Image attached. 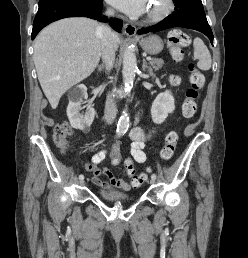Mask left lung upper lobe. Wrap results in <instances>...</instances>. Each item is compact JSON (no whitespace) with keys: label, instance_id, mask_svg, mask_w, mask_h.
Segmentation results:
<instances>
[{"label":"left lung upper lobe","instance_id":"1","mask_svg":"<svg viewBox=\"0 0 248 258\" xmlns=\"http://www.w3.org/2000/svg\"><path fill=\"white\" fill-rule=\"evenodd\" d=\"M173 2L175 5V10L203 6L201 0H173Z\"/></svg>","mask_w":248,"mask_h":258}]
</instances>
